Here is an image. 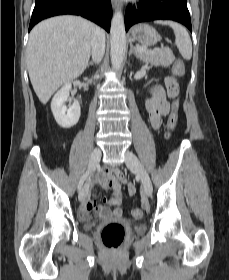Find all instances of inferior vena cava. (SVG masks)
Wrapping results in <instances>:
<instances>
[{
    "instance_id": "1",
    "label": "inferior vena cava",
    "mask_w": 229,
    "mask_h": 280,
    "mask_svg": "<svg viewBox=\"0 0 229 280\" xmlns=\"http://www.w3.org/2000/svg\"><path fill=\"white\" fill-rule=\"evenodd\" d=\"M105 52V34L103 30L97 26L92 31L91 38V54L95 63H99Z\"/></svg>"
}]
</instances>
